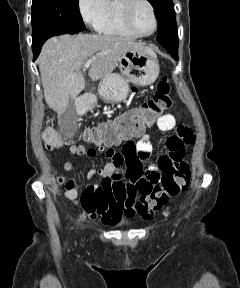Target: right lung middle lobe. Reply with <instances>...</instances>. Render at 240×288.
Returning <instances> with one entry per match:
<instances>
[{
	"label": "right lung middle lobe",
	"mask_w": 240,
	"mask_h": 288,
	"mask_svg": "<svg viewBox=\"0 0 240 288\" xmlns=\"http://www.w3.org/2000/svg\"><path fill=\"white\" fill-rule=\"evenodd\" d=\"M79 0H33L32 45L47 33L58 29H85L79 11Z\"/></svg>",
	"instance_id": "dd1d6c3e"
}]
</instances>
